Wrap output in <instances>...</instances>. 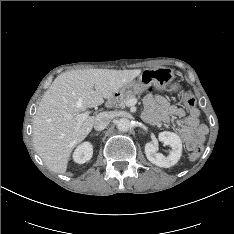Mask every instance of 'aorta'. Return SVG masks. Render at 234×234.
I'll use <instances>...</instances> for the list:
<instances>
[{"label": "aorta", "instance_id": "aorta-1", "mask_svg": "<svg viewBox=\"0 0 234 234\" xmlns=\"http://www.w3.org/2000/svg\"><path fill=\"white\" fill-rule=\"evenodd\" d=\"M131 122L127 118H121L117 121V128L119 131L126 132L130 129Z\"/></svg>", "mask_w": 234, "mask_h": 234}]
</instances>
